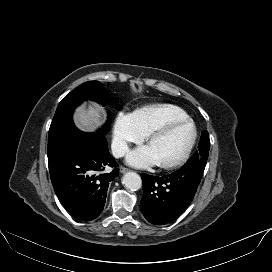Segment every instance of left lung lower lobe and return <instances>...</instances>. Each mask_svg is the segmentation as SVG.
<instances>
[{
	"label": "left lung lower lobe",
	"instance_id": "left-lung-lower-lobe-1",
	"mask_svg": "<svg viewBox=\"0 0 272 272\" xmlns=\"http://www.w3.org/2000/svg\"><path fill=\"white\" fill-rule=\"evenodd\" d=\"M204 169V165H191L162 177L142 174L144 217L155 225L175 220L194 198Z\"/></svg>",
	"mask_w": 272,
	"mask_h": 272
}]
</instances>
